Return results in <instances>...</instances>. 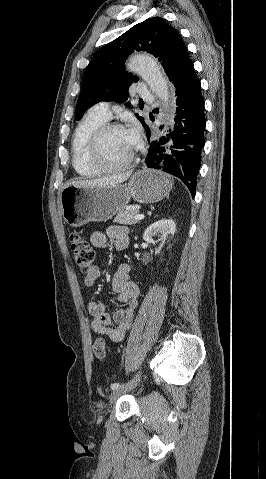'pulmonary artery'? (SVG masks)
<instances>
[{
	"label": "pulmonary artery",
	"mask_w": 266,
	"mask_h": 479,
	"mask_svg": "<svg viewBox=\"0 0 266 479\" xmlns=\"http://www.w3.org/2000/svg\"><path fill=\"white\" fill-rule=\"evenodd\" d=\"M138 93H139V96L144 100L154 98L153 93L146 88H139ZM91 111L105 118L106 120L110 119L111 117L110 104L108 102H99L91 109Z\"/></svg>",
	"instance_id": "obj_1"
}]
</instances>
